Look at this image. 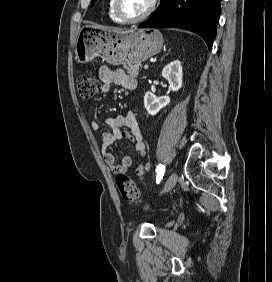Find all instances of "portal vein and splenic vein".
Segmentation results:
<instances>
[{
  "instance_id": "portal-vein-and-splenic-vein-1",
  "label": "portal vein and splenic vein",
  "mask_w": 272,
  "mask_h": 282,
  "mask_svg": "<svg viewBox=\"0 0 272 282\" xmlns=\"http://www.w3.org/2000/svg\"><path fill=\"white\" fill-rule=\"evenodd\" d=\"M149 68V65L145 64L144 69L147 70Z\"/></svg>"
}]
</instances>
